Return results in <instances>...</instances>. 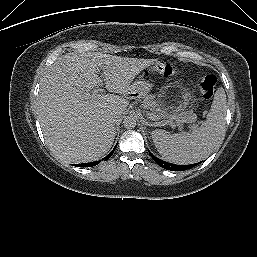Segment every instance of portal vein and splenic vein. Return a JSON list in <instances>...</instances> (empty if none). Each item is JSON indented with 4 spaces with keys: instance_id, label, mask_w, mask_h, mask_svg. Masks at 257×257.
I'll use <instances>...</instances> for the list:
<instances>
[{
    "instance_id": "obj_1",
    "label": "portal vein and splenic vein",
    "mask_w": 257,
    "mask_h": 257,
    "mask_svg": "<svg viewBox=\"0 0 257 257\" xmlns=\"http://www.w3.org/2000/svg\"><path fill=\"white\" fill-rule=\"evenodd\" d=\"M102 92H103L102 89L95 90L92 94L87 93V94L85 95V98H86V99H90V98L97 99V98H100ZM147 117H148L149 119H151V120L156 119V116H155L154 114L150 113V112L147 113ZM167 122H169V124H170L172 127H175V126H176V125H175L173 122H171V121H167ZM177 126H178L180 129H182V125L180 124V122H177Z\"/></svg>"
}]
</instances>
